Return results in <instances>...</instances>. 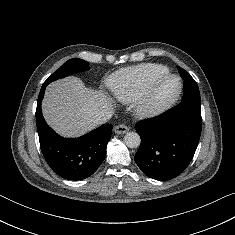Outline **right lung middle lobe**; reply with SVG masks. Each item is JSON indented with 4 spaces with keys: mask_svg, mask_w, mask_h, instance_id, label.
I'll return each instance as SVG.
<instances>
[{
    "mask_svg": "<svg viewBox=\"0 0 235 235\" xmlns=\"http://www.w3.org/2000/svg\"><path fill=\"white\" fill-rule=\"evenodd\" d=\"M88 69V62L79 59L72 58L65 62L57 71H55L44 83L43 85H48L52 81L66 77L72 73L83 71Z\"/></svg>",
    "mask_w": 235,
    "mask_h": 235,
    "instance_id": "obj_1",
    "label": "right lung middle lobe"
}]
</instances>
